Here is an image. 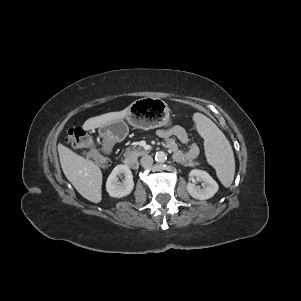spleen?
<instances>
[{
  "mask_svg": "<svg viewBox=\"0 0 301 301\" xmlns=\"http://www.w3.org/2000/svg\"><path fill=\"white\" fill-rule=\"evenodd\" d=\"M193 120L205 140L207 160L225 187H230L235 174L232 147L222 131L205 115L195 113Z\"/></svg>",
  "mask_w": 301,
  "mask_h": 301,
  "instance_id": "1",
  "label": "spleen"
}]
</instances>
